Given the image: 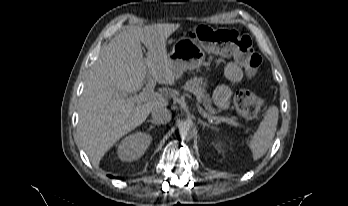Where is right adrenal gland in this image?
I'll list each match as a JSON object with an SVG mask.
<instances>
[{"label": "right adrenal gland", "mask_w": 348, "mask_h": 206, "mask_svg": "<svg viewBox=\"0 0 348 206\" xmlns=\"http://www.w3.org/2000/svg\"><path fill=\"white\" fill-rule=\"evenodd\" d=\"M147 122H150V123H152L153 125H157V126H159L160 124H158L156 121H154V120H147Z\"/></svg>", "instance_id": "1"}]
</instances>
